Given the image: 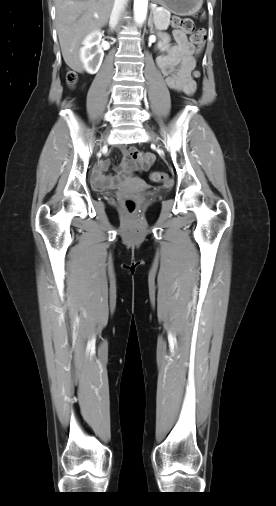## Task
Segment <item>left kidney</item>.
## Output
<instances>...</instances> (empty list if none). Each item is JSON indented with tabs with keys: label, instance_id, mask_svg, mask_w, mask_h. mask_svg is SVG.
Returning a JSON list of instances; mask_svg holds the SVG:
<instances>
[{
	"label": "left kidney",
	"instance_id": "5707ae66",
	"mask_svg": "<svg viewBox=\"0 0 276 506\" xmlns=\"http://www.w3.org/2000/svg\"><path fill=\"white\" fill-rule=\"evenodd\" d=\"M159 47H160L162 50H165V49H167V48H168V46L165 44V42L160 43V44H159Z\"/></svg>",
	"mask_w": 276,
	"mask_h": 506
}]
</instances>
